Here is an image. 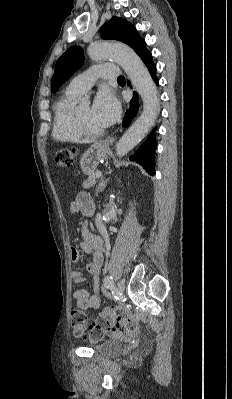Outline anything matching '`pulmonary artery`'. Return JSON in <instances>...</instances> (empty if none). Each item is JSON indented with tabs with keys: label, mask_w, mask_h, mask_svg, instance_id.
Listing matches in <instances>:
<instances>
[{
	"label": "pulmonary artery",
	"mask_w": 232,
	"mask_h": 399,
	"mask_svg": "<svg viewBox=\"0 0 232 399\" xmlns=\"http://www.w3.org/2000/svg\"><path fill=\"white\" fill-rule=\"evenodd\" d=\"M93 69L97 70L91 73H76L74 81H70L69 88L66 89V96H89L90 85L97 84V80H117L116 63H94Z\"/></svg>",
	"instance_id": "pulmonary-artery-1"
}]
</instances>
